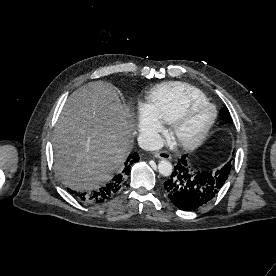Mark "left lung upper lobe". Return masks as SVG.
Segmentation results:
<instances>
[{
	"instance_id": "1",
	"label": "left lung upper lobe",
	"mask_w": 276,
	"mask_h": 276,
	"mask_svg": "<svg viewBox=\"0 0 276 276\" xmlns=\"http://www.w3.org/2000/svg\"><path fill=\"white\" fill-rule=\"evenodd\" d=\"M221 116H222V118L225 120V121H227V122H232V119H231V117H230V115H229V112H228V110L226 109V108H224V109H222L221 110ZM225 167H228L230 170H231V167H232V165H231V161H229L228 163H226L225 165H224ZM223 166V167H224ZM220 170V169H219Z\"/></svg>"
}]
</instances>
